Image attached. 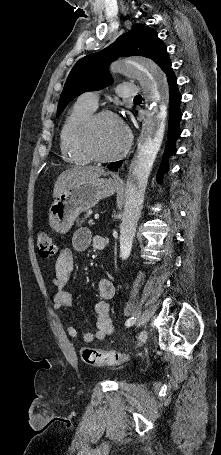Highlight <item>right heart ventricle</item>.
Wrapping results in <instances>:
<instances>
[{
    "instance_id": "obj_1",
    "label": "right heart ventricle",
    "mask_w": 221,
    "mask_h": 455,
    "mask_svg": "<svg viewBox=\"0 0 221 455\" xmlns=\"http://www.w3.org/2000/svg\"><path fill=\"white\" fill-rule=\"evenodd\" d=\"M95 108L78 99L69 110L60 130V151L65 161L74 165L90 162L89 156L82 149L80 130L84 121Z\"/></svg>"
}]
</instances>
